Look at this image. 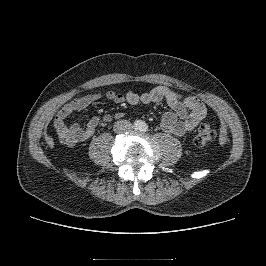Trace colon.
<instances>
[{
    "label": "colon",
    "mask_w": 266,
    "mask_h": 266,
    "mask_svg": "<svg viewBox=\"0 0 266 266\" xmlns=\"http://www.w3.org/2000/svg\"><path fill=\"white\" fill-rule=\"evenodd\" d=\"M216 138L215 129L208 123L200 124L196 130L194 144L197 147H205Z\"/></svg>",
    "instance_id": "obj_1"
}]
</instances>
